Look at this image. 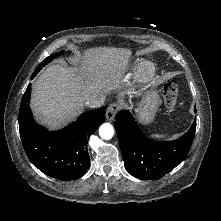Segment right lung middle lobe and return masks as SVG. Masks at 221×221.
<instances>
[{"mask_svg":"<svg viewBox=\"0 0 221 221\" xmlns=\"http://www.w3.org/2000/svg\"><path fill=\"white\" fill-rule=\"evenodd\" d=\"M54 58H56V56H50V57H47L45 58L41 63L40 65L36 68V70L34 71V73H38L39 70L41 69V67L45 66L47 63L51 62Z\"/></svg>","mask_w":221,"mask_h":221,"instance_id":"obj_1","label":"right lung middle lobe"}]
</instances>
